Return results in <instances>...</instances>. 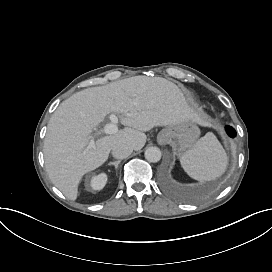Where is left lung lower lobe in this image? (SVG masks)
<instances>
[{"instance_id": "obj_1", "label": "left lung lower lobe", "mask_w": 272, "mask_h": 272, "mask_svg": "<svg viewBox=\"0 0 272 272\" xmlns=\"http://www.w3.org/2000/svg\"><path fill=\"white\" fill-rule=\"evenodd\" d=\"M226 132L231 138H234L236 135L235 129L230 126H226Z\"/></svg>"}]
</instances>
